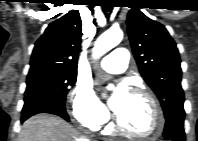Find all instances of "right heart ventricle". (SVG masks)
<instances>
[{
    "instance_id": "1",
    "label": "right heart ventricle",
    "mask_w": 198,
    "mask_h": 141,
    "mask_svg": "<svg viewBox=\"0 0 198 141\" xmlns=\"http://www.w3.org/2000/svg\"><path fill=\"white\" fill-rule=\"evenodd\" d=\"M107 131H111V127L109 126V127H107Z\"/></svg>"
}]
</instances>
